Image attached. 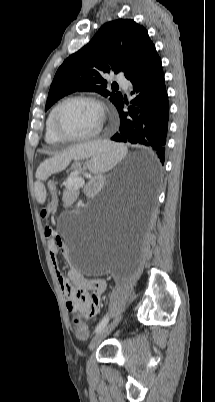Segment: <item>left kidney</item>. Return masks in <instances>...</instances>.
I'll return each instance as SVG.
<instances>
[{
	"label": "left kidney",
	"instance_id": "1",
	"mask_svg": "<svg viewBox=\"0 0 215 402\" xmlns=\"http://www.w3.org/2000/svg\"><path fill=\"white\" fill-rule=\"evenodd\" d=\"M97 175L99 177H102L104 175V172L102 170H99L97 172ZM102 186V179L101 178H90L89 179V184L86 187V190L88 193H95L97 190V187Z\"/></svg>",
	"mask_w": 215,
	"mask_h": 402
}]
</instances>
